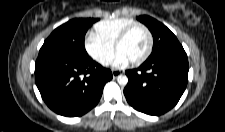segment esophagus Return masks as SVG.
Segmentation results:
<instances>
[{
  "label": "esophagus",
  "instance_id": "obj_1",
  "mask_svg": "<svg viewBox=\"0 0 225 132\" xmlns=\"http://www.w3.org/2000/svg\"><path fill=\"white\" fill-rule=\"evenodd\" d=\"M122 72L120 70H113L112 71V75L114 78H116L117 76H119Z\"/></svg>",
  "mask_w": 225,
  "mask_h": 132
}]
</instances>
